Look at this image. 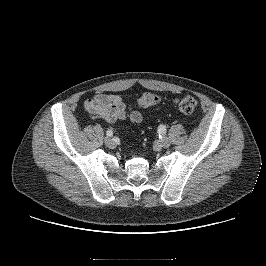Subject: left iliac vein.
I'll return each instance as SVG.
<instances>
[{"label": "left iliac vein", "instance_id": "1", "mask_svg": "<svg viewBox=\"0 0 266 266\" xmlns=\"http://www.w3.org/2000/svg\"><path fill=\"white\" fill-rule=\"evenodd\" d=\"M159 144L162 148H168L170 146V141L168 138H162Z\"/></svg>", "mask_w": 266, "mask_h": 266}]
</instances>
